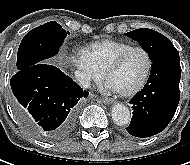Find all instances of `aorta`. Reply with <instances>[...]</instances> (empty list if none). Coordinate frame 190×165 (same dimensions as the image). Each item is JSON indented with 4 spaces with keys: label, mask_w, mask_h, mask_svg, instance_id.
I'll return each instance as SVG.
<instances>
[{
    "label": "aorta",
    "mask_w": 190,
    "mask_h": 165,
    "mask_svg": "<svg viewBox=\"0 0 190 165\" xmlns=\"http://www.w3.org/2000/svg\"><path fill=\"white\" fill-rule=\"evenodd\" d=\"M112 120L118 126H125L130 123L131 115L129 109L123 104H116L113 106Z\"/></svg>",
    "instance_id": "obj_1"
}]
</instances>
